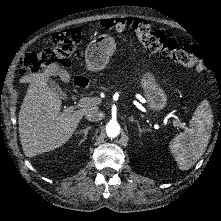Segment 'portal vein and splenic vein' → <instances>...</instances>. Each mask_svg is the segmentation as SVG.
I'll list each match as a JSON object with an SVG mask.
<instances>
[{
	"label": "portal vein and splenic vein",
	"mask_w": 221,
	"mask_h": 221,
	"mask_svg": "<svg viewBox=\"0 0 221 221\" xmlns=\"http://www.w3.org/2000/svg\"><path fill=\"white\" fill-rule=\"evenodd\" d=\"M102 98H89V97H83L79 100L78 104L76 106H70L69 107V112H72L75 108L77 107H87V106H90V105H95V104H100L102 103ZM173 125L175 127H181V128H184V125L182 123H180L178 120H174L173 121Z\"/></svg>",
	"instance_id": "obj_1"
}]
</instances>
